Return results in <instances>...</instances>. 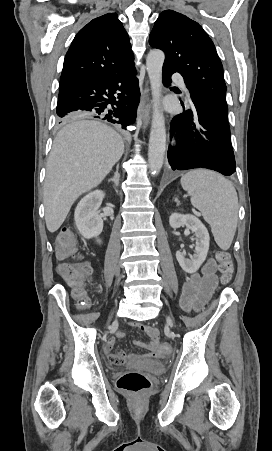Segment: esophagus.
<instances>
[{
    "label": "esophagus",
    "instance_id": "esophagus-1",
    "mask_svg": "<svg viewBox=\"0 0 272 451\" xmlns=\"http://www.w3.org/2000/svg\"><path fill=\"white\" fill-rule=\"evenodd\" d=\"M150 110L151 104L148 101L146 102L144 109H142L140 106L138 108V115L142 117L143 125L145 127L149 124L150 121Z\"/></svg>",
    "mask_w": 272,
    "mask_h": 451
}]
</instances>
